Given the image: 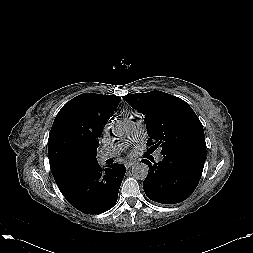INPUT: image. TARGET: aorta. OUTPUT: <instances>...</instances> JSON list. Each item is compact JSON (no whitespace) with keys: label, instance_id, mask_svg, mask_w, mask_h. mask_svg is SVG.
Returning <instances> with one entry per match:
<instances>
[{"label":"aorta","instance_id":"obj_1","mask_svg":"<svg viewBox=\"0 0 253 253\" xmlns=\"http://www.w3.org/2000/svg\"><path fill=\"white\" fill-rule=\"evenodd\" d=\"M126 126L121 121H112L105 126V132L108 136L119 138L124 135ZM149 174V167L147 164L137 162L132 166V175L137 180H145Z\"/></svg>","mask_w":253,"mask_h":253}]
</instances>
